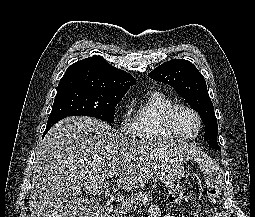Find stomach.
<instances>
[{
    "label": "stomach",
    "mask_w": 255,
    "mask_h": 217,
    "mask_svg": "<svg viewBox=\"0 0 255 217\" xmlns=\"http://www.w3.org/2000/svg\"><path fill=\"white\" fill-rule=\"evenodd\" d=\"M183 160L174 156L161 166L158 171V178L164 185L172 186L182 178L184 174Z\"/></svg>",
    "instance_id": "stomach-1"
}]
</instances>
